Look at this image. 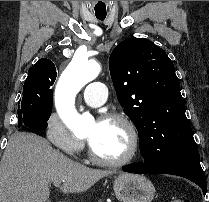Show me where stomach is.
<instances>
[{"label":"stomach","instance_id":"obj_1","mask_svg":"<svg viewBox=\"0 0 209 202\" xmlns=\"http://www.w3.org/2000/svg\"><path fill=\"white\" fill-rule=\"evenodd\" d=\"M114 193L122 202H152L155 187L143 175L122 173L116 177Z\"/></svg>","mask_w":209,"mask_h":202}]
</instances>
